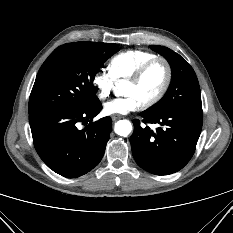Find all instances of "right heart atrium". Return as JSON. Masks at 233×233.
Returning <instances> with one entry per match:
<instances>
[{
    "label": "right heart atrium",
    "mask_w": 233,
    "mask_h": 233,
    "mask_svg": "<svg viewBox=\"0 0 233 233\" xmlns=\"http://www.w3.org/2000/svg\"><path fill=\"white\" fill-rule=\"evenodd\" d=\"M115 79L108 70H99L93 76V85L97 89L100 98H107L114 87Z\"/></svg>",
    "instance_id": "right-heart-atrium-1"
}]
</instances>
